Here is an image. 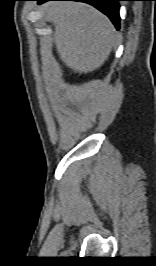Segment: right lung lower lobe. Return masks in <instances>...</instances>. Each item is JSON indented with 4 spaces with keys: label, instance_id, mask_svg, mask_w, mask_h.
I'll use <instances>...</instances> for the list:
<instances>
[{
    "label": "right lung lower lobe",
    "instance_id": "right-lung-lower-lobe-1",
    "mask_svg": "<svg viewBox=\"0 0 156 266\" xmlns=\"http://www.w3.org/2000/svg\"><path fill=\"white\" fill-rule=\"evenodd\" d=\"M39 4L46 1H79L93 5L107 15L117 29L120 28L119 4L120 0H35Z\"/></svg>",
    "mask_w": 156,
    "mask_h": 266
}]
</instances>
